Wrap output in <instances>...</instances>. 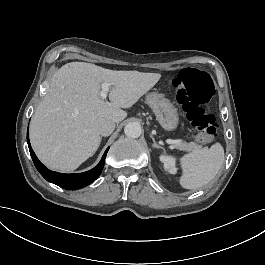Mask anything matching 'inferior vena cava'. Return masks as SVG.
Instances as JSON below:
<instances>
[{
  "label": "inferior vena cava",
  "instance_id": "inferior-vena-cava-1",
  "mask_svg": "<svg viewBox=\"0 0 265 265\" xmlns=\"http://www.w3.org/2000/svg\"><path fill=\"white\" fill-rule=\"evenodd\" d=\"M96 125L99 133L103 136L110 135L115 129V122L108 119H99Z\"/></svg>",
  "mask_w": 265,
  "mask_h": 265
}]
</instances>
